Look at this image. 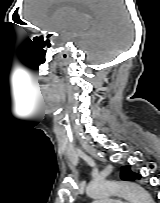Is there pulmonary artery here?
Here are the masks:
<instances>
[{
	"mask_svg": "<svg viewBox=\"0 0 160 203\" xmlns=\"http://www.w3.org/2000/svg\"><path fill=\"white\" fill-rule=\"evenodd\" d=\"M93 203H119L118 200H110V201H94Z\"/></svg>",
	"mask_w": 160,
	"mask_h": 203,
	"instance_id": "obj_1",
	"label": "pulmonary artery"
}]
</instances>
